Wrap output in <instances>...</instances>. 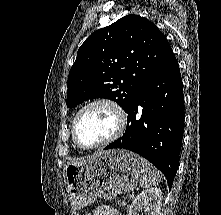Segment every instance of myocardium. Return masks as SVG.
I'll list each match as a JSON object with an SVG mask.
<instances>
[{
    "instance_id": "1",
    "label": "myocardium",
    "mask_w": 221,
    "mask_h": 215,
    "mask_svg": "<svg viewBox=\"0 0 221 215\" xmlns=\"http://www.w3.org/2000/svg\"><path fill=\"white\" fill-rule=\"evenodd\" d=\"M94 105H106V106L110 107L116 116L117 125H116L114 132L107 139H105L102 142L97 143V144L84 145L78 139L77 124H78L81 114L86 109H88ZM126 125H127L126 114H125L123 108L121 107V105L117 101H115L111 98H106V97L95 98V99L90 100L87 103H85L75 114L73 122H72V128H71L72 138H73L74 143L79 148L84 149V150H93V149L104 147V146L109 145L112 142L116 141L125 131Z\"/></svg>"
}]
</instances>
